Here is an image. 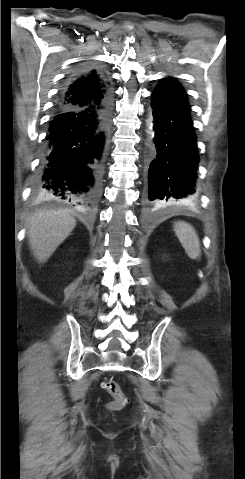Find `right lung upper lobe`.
Masks as SVG:
<instances>
[{
  "label": "right lung upper lobe",
  "instance_id": "right-lung-upper-lobe-1",
  "mask_svg": "<svg viewBox=\"0 0 245 479\" xmlns=\"http://www.w3.org/2000/svg\"><path fill=\"white\" fill-rule=\"evenodd\" d=\"M111 95L106 74L101 70L89 69L77 75L64 89L58 107H86L100 103Z\"/></svg>",
  "mask_w": 245,
  "mask_h": 479
}]
</instances>
